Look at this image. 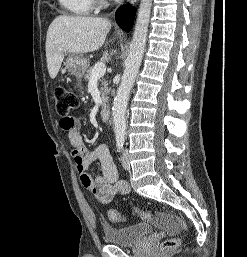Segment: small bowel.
Listing matches in <instances>:
<instances>
[{"label":"small bowel","mask_w":247,"mask_h":257,"mask_svg":"<svg viewBox=\"0 0 247 257\" xmlns=\"http://www.w3.org/2000/svg\"><path fill=\"white\" fill-rule=\"evenodd\" d=\"M60 126L66 132L73 147L71 156L82 185L90 190L99 202L110 203L116 195L129 191L128 183L118 180V171L109 148L105 144H99L93 150L87 148L80 133L81 121L79 118L71 117V124L68 126L60 121ZM96 160L100 163L101 174L93 178L88 173V168ZM156 223L169 233H174L178 229L176 223L165 215L157 217Z\"/></svg>","instance_id":"small-bowel-1"}]
</instances>
